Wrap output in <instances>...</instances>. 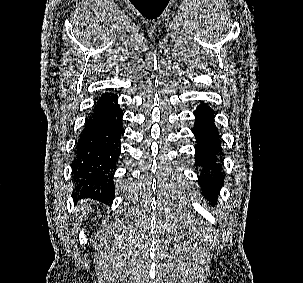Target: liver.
Segmentation results:
<instances>
[{
  "label": "liver",
  "instance_id": "obj_1",
  "mask_svg": "<svg viewBox=\"0 0 303 283\" xmlns=\"http://www.w3.org/2000/svg\"><path fill=\"white\" fill-rule=\"evenodd\" d=\"M84 206L83 205H81V211H82V214H85L86 212H85V210H84ZM78 211H80V208H78Z\"/></svg>",
  "mask_w": 303,
  "mask_h": 283
}]
</instances>
